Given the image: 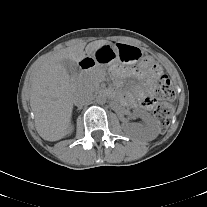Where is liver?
Returning a JSON list of instances; mask_svg holds the SVG:
<instances>
[{"instance_id": "6515ba94", "label": "liver", "mask_w": 207, "mask_h": 207, "mask_svg": "<svg viewBox=\"0 0 207 207\" xmlns=\"http://www.w3.org/2000/svg\"><path fill=\"white\" fill-rule=\"evenodd\" d=\"M105 44L108 41L96 40L86 47L79 42L61 49L42 61L32 73L29 82L30 106L36 130L44 140L58 141L66 136L72 116L74 87L62 60L81 62L86 57H93Z\"/></svg>"}]
</instances>
